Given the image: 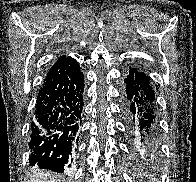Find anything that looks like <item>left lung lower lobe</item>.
<instances>
[{"instance_id": "left-lung-lower-lobe-1", "label": "left lung lower lobe", "mask_w": 196, "mask_h": 182, "mask_svg": "<svg viewBox=\"0 0 196 182\" xmlns=\"http://www.w3.org/2000/svg\"><path fill=\"white\" fill-rule=\"evenodd\" d=\"M149 77L137 68L130 67L125 78L124 116L137 154L149 157L156 153L157 120L155 94Z\"/></svg>"}]
</instances>
